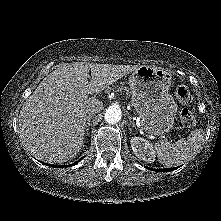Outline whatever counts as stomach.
<instances>
[{
    "instance_id": "stomach-1",
    "label": "stomach",
    "mask_w": 221,
    "mask_h": 221,
    "mask_svg": "<svg viewBox=\"0 0 221 221\" xmlns=\"http://www.w3.org/2000/svg\"><path fill=\"white\" fill-rule=\"evenodd\" d=\"M171 80L168 70L145 65L129 77L132 105L150 134L163 135L173 127L177 104L168 92Z\"/></svg>"
}]
</instances>
